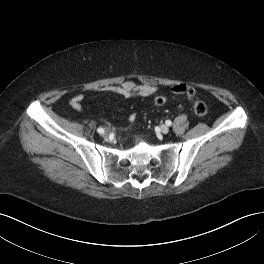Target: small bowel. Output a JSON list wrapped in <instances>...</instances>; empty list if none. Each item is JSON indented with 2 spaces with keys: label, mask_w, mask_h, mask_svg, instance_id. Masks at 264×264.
<instances>
[{
  "label": "small bowel",
  "mask_w": 264,
  "mask_h": 264,
  "mask_svg": "<svg viewBox=\"0 0 264 264\" xmlns=\"http://www.w3.org/2000/svg\"><path fill=\"white\" fill-rule=\"evenodd\" d=\"M187 86L185 84H175L171 87V92L174 94H184ZM91 90L101 92H112L118 94L124 98L133 97H148L157 92V86L149 83L137 84L133 81H124L119 85H105L99 88H93ZM84 101V94L79 93L74 96L70 102L71 107L75 110H82ZM134 117H130L132 121Z\"/></svg>",
  "instance_id": "obj_1"
}]
</instances>
